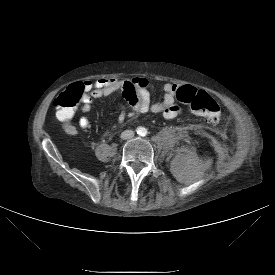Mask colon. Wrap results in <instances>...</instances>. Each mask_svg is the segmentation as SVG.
<instances>
[{
    "label": "colon",
    "mask_w": 275,
    "mask_h": 275,
    "mask_svg": "<svg viewBox=\"0 0 275 275\" xmlns=\"http://www.w3.org/2000/svg\"><path fill=\"white\" fill-rule=\"evenodd\" d=\"M81 89L78 85L72 86L60 93L54 100L58 117L69 120L73 117L81 101ZM176 97L180 103L189 106L195 113L205 116L210 122H218L222 111L217 101L206 91L184 86L180 88Z\"/></svg>",
    "instance_id": "colon-1"
}]
</instances>
